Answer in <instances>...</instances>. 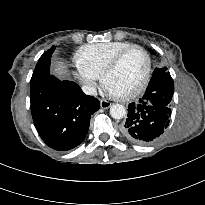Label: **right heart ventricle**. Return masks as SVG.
<instances>
[{
	"instance_id": "obj_1",
	"label": "right heart ventricle",
	"mask_w": 205,
	"mask_h": 205,
	"mask_svg": "<svg viewBox=\"0 0 205 205\" xmlns=\"http://www.w3.org/2000/svg\"><path fill=\"white\" fill-rule=\"evenodd\" d=\"M132 44L127 42H106L88 44L81 47L76 54L77 64L97 77H101L105 67L122 50Z\"/></svg>"
}]
</instances>
